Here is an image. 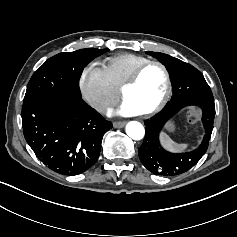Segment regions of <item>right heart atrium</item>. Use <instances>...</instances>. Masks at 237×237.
<instances>
[{"label": "right heart atrium", "instance_id": "d8ad5b80", "mask_svg": "<svg viewBox=\"0 0 237 237\" xmlns=\"http://www.w3.org/2000/svg\"><path fill=\"white\" fill-rule=\"evenodd\" d=\"M79 89L84 100L99 113H105L119 99V94L110 82L105 69L96 62L82 69Z\"/></svg>", "mask_w": 237, "mask_h": 237}]
</instances>
